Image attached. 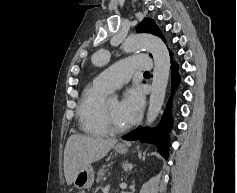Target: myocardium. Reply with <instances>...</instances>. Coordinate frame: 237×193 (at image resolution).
I'll return each instance as SVG.
<instances>
[{
    "instance_id": "obj_1",
    "label": "myocardium",
    "mask_w": 237,
    "mask_h": 193,
    "mask_svg": "<svg viewBox=\"0 0 237 193\" xmlns=\"http://www.w3.org/2000/svg\"><path fill=\"white\" fill-rule=\"evenodd\" d=\"M101 122L106 130L110 133H122L130 128V125L126 126H116L114 125L109 117L108 109H107V100H103L101 104Z\"/></svg>"
}]
</instances>
